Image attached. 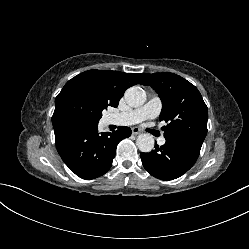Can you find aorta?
Listing matches in <instances>:
<instances>
[{
	"label": "aorta",
	"instance_id": "1",
	"mask_svg": "<svg viewBox=\"0 0 249 249\" xmlns=\"http://www.w3.org/2000/svg\"><path fill=\"white\" fill-rule=\"evenodd\" d=\"M127 104L131 107H139L146 101L145 91L137 86H132L124 94ZM136 145L141 152L147 153L154 148V138L150 134H141L137 137Z\"/></svg>",
	"mask_w": 249,
	"mask_h": 249
}]
</instances>
